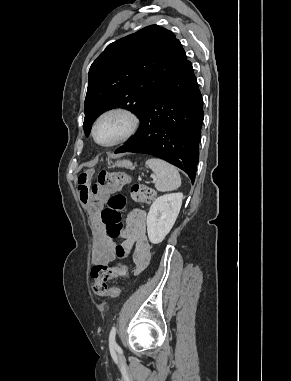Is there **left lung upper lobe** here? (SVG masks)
<instances>
[{
  "label": "left lung upper lobe",
  "instance_id": "obj_1",
  "mask_svg": "<svg viewBox=\"0 0 291 381\" xmlns=\"http://www.w3.org/2000/svg\"><path fill=\"white\" fill-rule=\"evenodd\" d=\"M185 59L174 33L158 25L109 44L89 70L83 123L86 136L95 119L109 109L125 108L140 117L147 101Z\"/></svg>",
  "mask_w": 291,
  "mask_h": 381
}]
</instances>
